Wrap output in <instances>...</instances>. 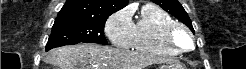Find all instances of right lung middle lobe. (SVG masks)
I'll use <instances>...</instances> for the list:
<instances>
[{"instance_id": "1", "label": "right lung middle lobe", "mask_w": 246, "mask_h": 69, "mask_svg": "<svg viewBox=\"0 0 246 69\" xmlns=\"http://www.w3.org/2000/svg\"><path fill=\"white\" fill-rule=\"evenodd\" d=\"M107 19H56L46 44V51L64 45L77 43H98L107 45L104 25Z\"/></svg>"}]
</instances>
